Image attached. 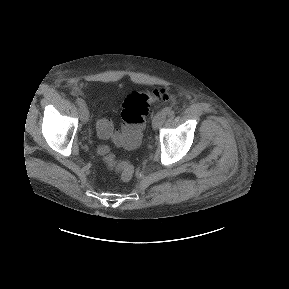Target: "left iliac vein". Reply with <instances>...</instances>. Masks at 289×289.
Segmentation results:
<instances>
[{"mask_svg":"<svg viewBox=\"0 0 289 289\" xmlns=\"http://www.w3.org/2000/svg\"><path fill=\"white\" fill-rule=\"evenodd\" d=\"M165 117H166V114L163 111L157 112L152 119L153 129H155V130L158 129L161 126V124L163 123Z\"/></svg>","mask_w":289,"mask_h":289,"instance_id":"obj_1","label":"left iliac vein"}]
</instances>
